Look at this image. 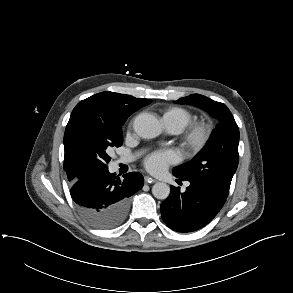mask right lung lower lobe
Here are the masks:
<instances>
[{
  "label": "right lung lower lobe",
  "mask_w": 293,
  "mask_h": 293,
  "mask_svg": "<svg viewBox=\"0 0 293 293\" xmlns=\"http://www.w3.org/2000/svg\"><path fill=\"white\" fill-rule=\"evenodd\" d=\"M143 183V176L138 172L119 178L108 168L97 169L79 176L70 194L83 217L119 215L123 222L129 209V197L140 190Z\"/></svg>",
  "instance_id": "right-lung-lower-lobe-1"
}]
</instances>
